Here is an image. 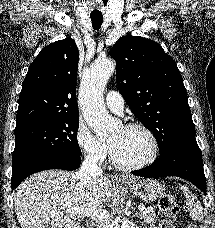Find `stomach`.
I'll return each mask as SVG.
<instances>
[{"instance_id": "0dacf381", "label": "stomach", "mask_w": 215, "mask_h": 228, "mask_svg": "<svg viewBox=\"0 0 215 228\" xmlns=\"http://www.w3.org/2000/svg\"><path fill=\"white\" fill-rule=\"evenodd\" d=\"M119 186H128L130 192L144 200V202H155L164 192V188L157 180H136L130 176H119Z\"/></svg>"}]
</instances>
